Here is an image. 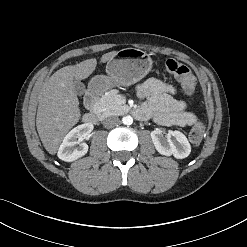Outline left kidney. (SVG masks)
<instances>
[{
	"instance_id": "1",
	"label": "left kidney",
	"mask_w": 247,
	"mask_h": 247,
	"mask_svg": "<svg viewBox=\"0 0 247 247\" xmlns=\"http://www.w3.org/2000/svg\"><path fill=\"white\" fill-rule=\"evenodd\" d=\"M151 138L156 150L162 155L183 159L191 152L188 139L180 131H171L164 137L162 130L156 129L151 132Z\"/></svg>"
}]
</instances>
